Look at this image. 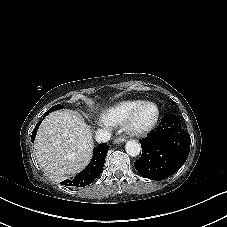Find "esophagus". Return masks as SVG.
<instances>
[{
  "label": "esophagus",
  "mask_w": 227,
  "mask_h": 227,
  "mask_svg": "<svg viewBox=\"0 0 227 227\" xmlns=\"http://www.w3.org/2000/svg\"><path fill=\"white\" fill-rule=\"evenodd\" d=\"M126 141V138L123 136H119L117 138L114 139L113 143L114 144H119V143H124Z\"/></svg>",
  "instance_id": "esophagus-1"
}]
</instances>
